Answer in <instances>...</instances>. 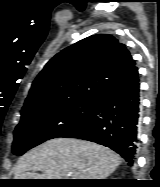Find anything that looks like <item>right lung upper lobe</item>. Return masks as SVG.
<instances>
[{"mask_svg":"<svg viewBox=\"0 0 160 187\" xmlns=\"http://www.w3.org/2000/svg\"><path fill=\"white\" fill-rule=\"evenodd\" d=\"M135 67L109 34L92 35L56 54L34 80L21 112L80 98H99Z\"/></svg>","mask_w":160,"mask_h":187,"instance_id":"right-lung-upper-lobe-1","label":"right lung upper lobe"}]
</instances>
